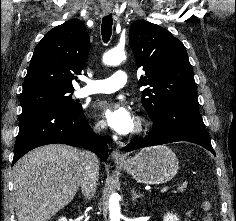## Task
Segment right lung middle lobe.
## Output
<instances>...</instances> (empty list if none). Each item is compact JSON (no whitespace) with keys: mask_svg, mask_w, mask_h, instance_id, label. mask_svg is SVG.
Here are the masks:
<instances>
[{"mask_svg":"<svg viewBox=\"0 0 236 221\" xmlns=\"http://www.w3.org/2000/svg\"><path fill=\"white\" fill-rule=\"evenodd\" d=\"M73 90H60L53 88L39 89L21 94L20 103L22 111L39 106H51L70 111L80 110L81 104L72 99Z\"/></svg>","mask_w":236,"mask_h":221,"instance_id":"1","label":"right lung middle lobe"}]
</instances>
